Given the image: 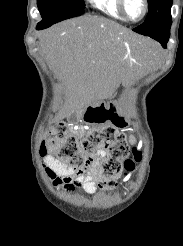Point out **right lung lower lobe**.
Instances as JSON below:
<instances>
[{
    "label": "right lung lower lobe",
    "instance_id": "right-lung-lower-lobe-1",
    "mask_svg": "<svg viewBox=\"0 0 183 246\" xmlns=\"http://www.w3.org/2000/svg\"><path fill=\"white\" fill-rule=\"evenodd\" d=\"M47 27H49V25L38 24L37 25V30L44 29V28H47Z\"/></svg>",
    "mask_w": 183,
    "mask_h": 246
}]
</instances>
